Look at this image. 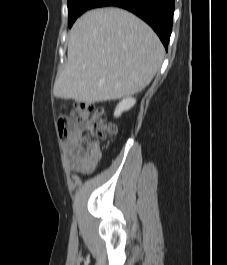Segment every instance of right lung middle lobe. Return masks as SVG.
I'll return each mask as SVG.
<instances>
[{
  "instance_id": "1",
  "label": "right lung middle lobe",
  "mask_w": 227,
  "mask_h": 265,
  "mask_svg": "<svg viewBox=\"0 0 227 265\" xmlns=\"http://www.w3.org/2000/svg\"><path fill=\"white\" fill-rule=\"evenodd\" d=\"M96 0H68V25L72 26L74 21L85 11L91 9Z\"/></svg>"
}]
</instances>
